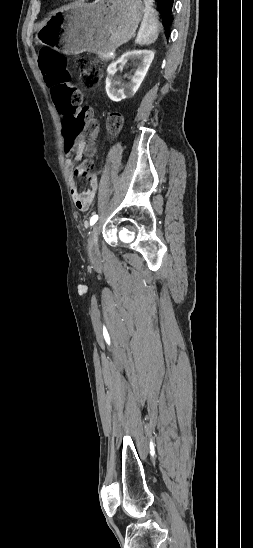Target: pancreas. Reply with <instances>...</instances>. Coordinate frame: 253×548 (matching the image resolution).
<instances>
[{"label":"pancreas","mask_w":253,"mask_h":548,"mask_svg":"<svg viewBox=\"0 0 253 548\" xmlns=\"http://www.w3.org/2000/svg\"><path fill=\"white\" fill-rule=\"evenodd\" d=\"M99 57L103 60H110L113 58L112 56H110V53L99 54Z\"/></svg>","instance_id":"cf45deb5"}]
</instances>
